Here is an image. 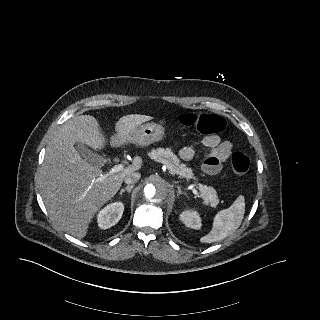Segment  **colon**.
<instances>
[{"instance_id": "colon-1", "label": "colon", "mask_w": 320, "mask_h": 320, "mask_svg": "<svg viewBox=\"0 0 320 320\" xmlns=\"http://www.w3.org/2000/svg\"><path fill=\"white\" fill-rule=\"evenodd\" d=\"M179 121L181 125L194 128L202 134H213L222 132L225 129V119L214 113L199 114L186 113L180 116ZM250 167L249 158L241 153L235 152L231 158V168L237 177L244 176Z\"/></svg>"}]
</instances>
